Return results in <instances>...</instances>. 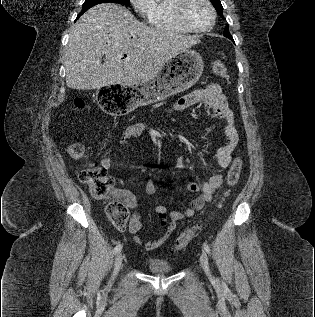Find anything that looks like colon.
<instances>
[{
	"label": "colon",
	"instance_id": "1",
	"mask_svg": "<svg viewBox=\"0 0 315 317\" xmlns=\"http://www.w3.org/2000/svg\"><path fill=\"white\" fill-rule=\"evenodd\" d=\"M212 68L217 76L228 79V70L222 61H214ZM75 104L78 108L83 107V103L79 99L76 100ZM67 151L74 159H82L86 156V147L81 142L71 143L67 147ZM241 171L242 160L240 157H236L227 172L226 189L217 204V208L222 207L223 202L229 196L230 190L239 182ZM79 178L85 185H87L93 196L105 200L106 214L110 222L117 229H124L129 219V210L124 200L114 193L113 180L108 174V169L101 164H91L79 170ZM196 230L197 228L193 227L180 234L175 241L174 250H183L194 237Z\"/></svg>",
	"mask_w": 315,
	"mask_h": 317
}]
</instances>
